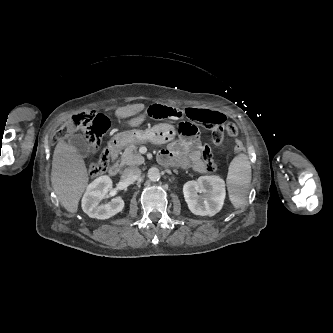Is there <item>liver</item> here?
I'll list each match as a JSON object with an SVG mask.
<instances>
[{"instance_id": "obj_1", "label": "liver", "mask_w": 333, "mask_h": 333, "mask_svg": "<svg viewBox=\"0 0 333 333\" xmlns=\"http://www.w3.org/2000/svg\"><path fill=\"white\" fill-rule=\"evenodd\" d=\"M144 108V104L127 105L117 108L115 115L127 118L141 112ZM88 179L84 160L73 154L64 143H59L53 157L51 182L58 199L68 212H77L78 203Z\"/></svg>"}]
</instances>
